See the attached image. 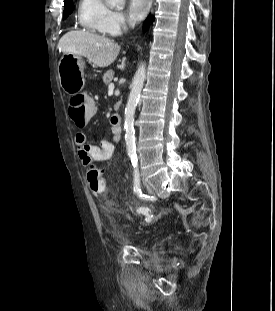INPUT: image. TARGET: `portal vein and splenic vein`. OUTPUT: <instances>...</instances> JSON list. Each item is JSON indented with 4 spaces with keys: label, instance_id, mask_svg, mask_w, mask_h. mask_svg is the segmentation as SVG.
I'll use <instances>...</instances> for the list:
<instances>
[{
    "label": "portal vein and splenic vein",
    "instance_id": "1",
    "mask_svg": "<svg viewBox=\"0 0 275 311\" xmlns=\"http://www.w3.org/2000/svg\"><path fill=\"white\" fill-rule=\"evenodd\" d=\"M109 89H114V84H113V83H111V84L109 85Z\"/></svg>",
    "mask_w": 275,
    "mask_h": 311
}]
</instances>
